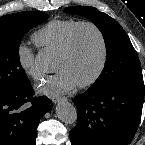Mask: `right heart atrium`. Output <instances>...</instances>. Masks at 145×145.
Returning a JSON list of instances; mask_svg holds the SVG:
<instances>
[{"instance_id": "1", "label": "right heart atrium", "mask_w": 145, "mask_h": 145, "mask_svg": "<svg viewBox=\"0 0 145 145\" xmlns=\"http://www.w3.org/2000/svg\"><path fill=\"white\" fill-rule=\"evenodd\" d=\"M16 57L22 71L35 81H39L44 76V71L36 61L34 50L26 43H19L16 49Z\"/></svg>"}]
</instances>
